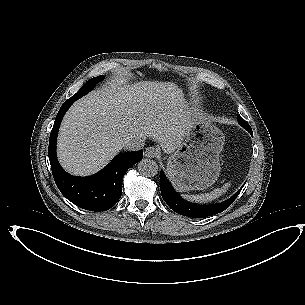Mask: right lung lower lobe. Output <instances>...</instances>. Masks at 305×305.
<instances>
[{
    "label": "right lung lower lobe",
    "instance_id": "obj_1",
    "mask_svg": "<svg viewBox=\"0 0 305 305\" xmlns=\"http://www.w3.org/2000/svg\"><path fill=\"white\" fill-rule=\"evenodd\" d=\"M74 102L69 98L60 108L49 140L48 155L52 174L61 193L72 203L90 211H106L117 203L122 194V179L126 171L143 157V152L117 155L104 169L89 177L66 173L56 156V140L61 120Z\"/></svg>",
    "mask_w": 305,
    "mask_h": 305
}]
</instances>
